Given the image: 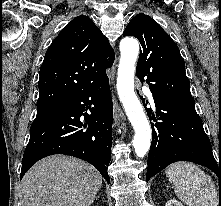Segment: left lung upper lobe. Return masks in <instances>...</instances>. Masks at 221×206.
Segmentation results:
<instances>
[{"instance_id": "5c2ea615", "label": "left lung upper lobe", "mask_w": 221, "mask_h": 206, "mask_svg": "<svg viewBox=\"0 0 221 206\" xmlns=\"http://www.w3.org/2000/svg\"><path fill=\"white\" fill-rule=\"evenodd\" d=\"M123 36H134L140 41L142 51L136 75L149 84L154 97L170 106L195 109L184 60L163 28L148 15L138 14L129 22Z\"/></svg>"}]
</instances>
